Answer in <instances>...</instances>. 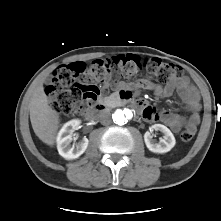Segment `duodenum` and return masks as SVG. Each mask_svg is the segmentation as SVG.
Returning a JSON list of instances; mask_svg holds the SVG:
<instances>
[{"instance_id":"obj_1","label":"duodenum","mask_w":221,"mask_h":221,"mask_svg":"<svg viewBox=\"0 0 221 221\" xmlns=\"http://www.w3.org/2000/svg\"><path fill=\"white\" fill-rule=\"evenodd\" d=\"M114 102H128L136 108H140L143 104V100L133 99L128 91H120L113 96ZM107 106L101 102H95L90 107L84 109L81 113L82 117L87 120H93L98 112L104 111Z\"/></svg>"}]
</instances>
